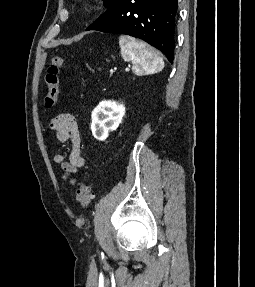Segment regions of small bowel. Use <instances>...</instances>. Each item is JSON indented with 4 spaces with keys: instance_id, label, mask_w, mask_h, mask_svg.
Masks as SVG:
<instances>
[{
    "instance_id": "c3829d8e",
    "label": "small bowel",
    "mask_w": 255,
    "mask_h": 287,
    "mask_svg": "<svg viewBox=\"0 0 255 287\" xmlns=\"http://www.w3.org/2000/svg\"><path fill=\"white\" fill-rule=\"evenodd\" d=\"M49 127L55 133L58 141L69 142L71 145L68 160L63 153H58L54 156V162L63 170V178L69 179L70 183L74 184L75 180L71 178V175L85 165V159L81 154L78 120L71 113H60L51 120Z\"/></svg>"
}]
</instances>
